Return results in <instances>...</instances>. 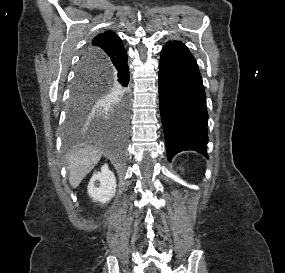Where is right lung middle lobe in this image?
<instances>
[{
  "instance_id": "dd1d6c3e",
  "label": "right lung middle lobe",
  "mask_w": 285,
  "mask_h": 273,
  "mask_svg": "<svg viewBox=\"0 0 285 273\" xmlns=\"http://www.w3.org/2000/svg\"><path fill=\"white\" fill-rule=\"evenodd\" d=\"M109 94L124 98L126 90L110 81L106 71L80 63L71 89L67 127L73 129L78 126L95 102Z\"/></svg>"
}]
</instances>
